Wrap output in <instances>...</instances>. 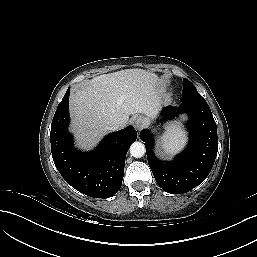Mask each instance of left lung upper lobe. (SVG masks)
Here are the masks:
<instances>
[{"instance_id":"5c2ea615","label":"left lung upper lobe","mask_w":257,"mask_h":257,"mask_svg":"<svg viewBox=\"0 0 257 257\" xmlns=\"http://www.w3.org/2000/svg\"><path fill=\"white\" fill-rule=\"evenodd\" d=\"M183 100L184 101H199V102H206L205 99L198 93L195 86L187 79H183Z\"/></svg>"}]
</instances>
